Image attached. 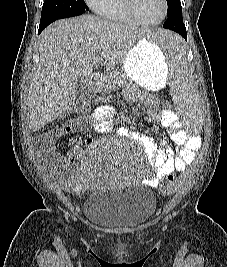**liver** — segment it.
<instances>
[{
	"label": "liver",
	"instance_id": "1",
	"mask_svg": "<svg viewBox=\"0 0 227 267\" xmlns=\"http://www.w3.org/2000/svg\"><path fill=\"white\" fill-rule=\"evenodd\" d=\"M152 33L164 30L140 28L93 15L62 19L48 26L39 37L40 60L28 90L30 130L38 131L70 108L77 97L76 81L89 80L94 60L113 69L136 42Z\"/></svg>",
	"mask_w": 227,
	"mask_h": 267
}]
</instances>
